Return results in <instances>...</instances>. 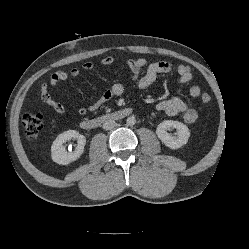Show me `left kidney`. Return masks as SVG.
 I'll return each mask as SVG.
<instances>
[{
	"label": "left kidney",
	"mask_w": 249,
	"mask_h": 249,
	"mask_svg": "<svg viewBox=\"0 0 249 249\" xmlns=\"http://www.w3.org/2000/svg\"><path fill=\"white\" fill-rule=\"evenodd\" d=\"M171 128L177 129L176 136H172L167 132V130H170ZM156 134L158 138L162 141V143H164L165 146L171 149L180 148L182 145L187 143L190 137L188 127L181 122L173 120H165L161 122L157 126Z\"/></svg>",
	"instance_id": "1"
}]
</instances>
